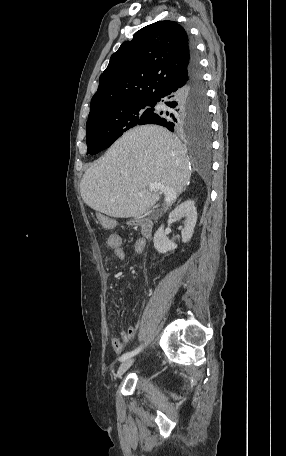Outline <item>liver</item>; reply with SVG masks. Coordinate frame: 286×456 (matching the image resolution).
I'll list each match as a JSON object with an SVG mask.
<instances>
[{"label":"liver","instance_id":"liver-1","mask_svg":"<svg viewBox=\"0 0 286 456\" xmlns=\"http://www.w3.org/2000/svg\"><path fill=\"white\" fill-rule=\"evenodd\" d=\"M191 176L187 149L178 137L157 125L126 132L84 173L83 201L115 218L139 217L159 200L150 183L180 194Z\"/></svg>","mask_w":286,"mask_h":456}]
</instances>
